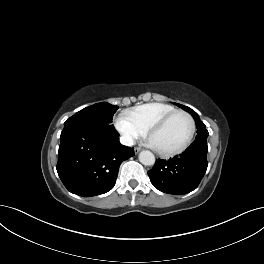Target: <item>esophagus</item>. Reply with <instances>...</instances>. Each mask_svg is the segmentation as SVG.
<instances>
[{
    "mask_svg": "<svg viewBox=\"0 0 264 264\" xmlns=\"http://www.w3.org/2000/svg\"><path fill=\"white\" fill-rule=\"evenodd\" d=\"M140 151H141V148H139V147H136V148L134 149L135 154L139 153Z\"/></svg>",
    "mask_w": 264,
    "mask_h": 264,
    "instance_id": "34e87169",
    "label": "esophagus"
}]
</instances>
